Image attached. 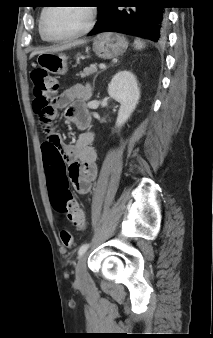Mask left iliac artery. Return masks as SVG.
Instances as JSON below:
<instances>
[{
    "label": "left iliac artery",
    "mask_w": 213,
    "mask_h": 338,
    "mask_svg": "<svg viewBox=\"0 0 213 338\" xmlns=\"http://www.w3.org/2000/svg\"><path fill=\"white\" fill-rule=\"evenodd\" d=\"M88 248H89L88 243L83 244L78 250V257H81L87 251Z\"/></svg>",
    "instance_id": "left-iliac-artery-1"
}]
</instances>
